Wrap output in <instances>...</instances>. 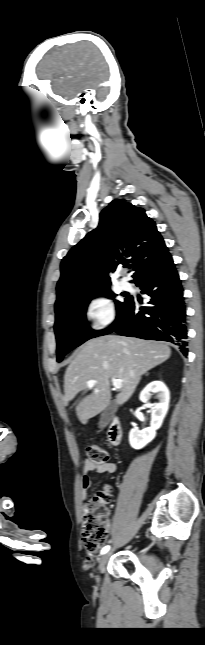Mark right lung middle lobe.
I'll return each instance as SVG.
<instances>
[{"label":"right lung middle lobe","mask_w":205,"mask_h":645,"mask_svg":"<svg viewBox=\"0 0 205 645\" xmlns=\"http://www.w3.org/2000/svg\"><path fill=\"white\" fill-rule=\"evenodd\" d=\"M99 295H106V297L111 299L116 296V294H114L110 289L94 294L84 295L79 297L73 305L56 313L54 329L57 339L58 362L62 361L64 355L70 350L91 338L100 336L104 331H95L90 329L87 325L85 316L86 308L91 298ZM128 301L129 298H126L123 302L116 301V320L122 313Z\"/></svg>","instance_id":"right-lung-middle-lobe-1"}]
</instances>
